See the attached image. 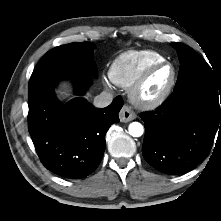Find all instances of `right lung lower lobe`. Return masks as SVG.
Listing matches in <instances>:
<instances>
[{"label": "right lung lower lobe", "instance_id": "1", "mask_svg": "<svg viewBox=\"0 0 221 221\" xmlns=\"http://www.w3.org/2000/svg\"><path fill=\"white\" fill-rule=\"evenodd\" d=\"M62 78H71L82 96L91 84L87 74L73 73L49 80L29 93L28 129L43 165L65 179H81L98 167L104 150L105 134L119 121L123 106L117 97L98 109L82 97L67 104L59 102L53 87Z\"/></svg>", "mask_w": 221, "mask_h": 221}]
</instances>
